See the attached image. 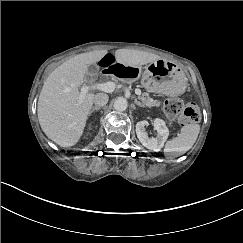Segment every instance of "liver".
I'll use <instances>...</instances> for the list:
<instances>
[{
  "instance_id": "obj_1",
  "label": "liver",
  "mask_w": 243,
  "mask_h": 243,
  "mask_svg": "<svg viewBox=\"0 0 243 243\" xmlns=\"http://www.w3.org/2000/svg\"><path fill=\"white\" fill-rule=\"evenodd\" d=\"M107 50L76 55L54 69L48 76L38 100V120L49 139L62 147L75 145L92 109L94 94L86 93L80 100L79 87L89 65L97 63ZM116 62L125 66H141L161 59L160 56L134 50L115 51Z\"/></svg>"
}]
</instances>
